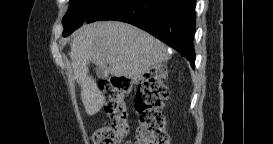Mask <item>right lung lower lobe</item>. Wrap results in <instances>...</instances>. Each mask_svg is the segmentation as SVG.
<instances>
[{
	"label": "right lung lower lobe",
	"instance_id": "98d812e1",
	"mask_svg": "<svg viewBox=\"0 0 273 144\" xmlns=\"http://www.w3.org/2000/svg\"><path fill=\"white\" fill-rule=\"evenodd\" d=\"M196 0H110L87 22L118 20L133 24L174 48L195 67Z\"/></svg>",
	"mask_w": 273,
	"mask_h": 144
}]
</instances>
